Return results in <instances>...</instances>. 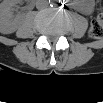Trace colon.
<instances>
[{
    "mask_svg": "<svg viewBox=\"0 0 103 103\" xmlns=\"http://www.w3.org/2000/svg\"><path fill=\"white\" fill-rule=\"evenodd\" d=\"M89 37L92 39H100L103 37V15L98 14L91 22L89 28Z\"/></svg>",
    "mask_w": 103,
    "mask_h": 103,
    "instance_id": "5ec220e1",
    "label": "colon"
}]
</instances>
